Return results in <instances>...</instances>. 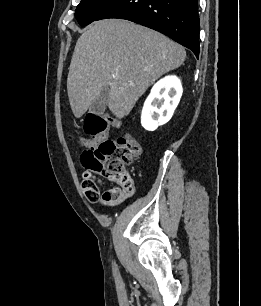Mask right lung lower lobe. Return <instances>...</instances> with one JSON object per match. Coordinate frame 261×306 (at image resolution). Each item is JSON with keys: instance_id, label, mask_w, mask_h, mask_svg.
Masks as SVG:
<instances>
[{"instance_id": "98d812e1", "label": "right lung lower lobe", "mask_w": 261, "mask_h": 306, "mask_svg": "<svg viewBox=\"0 0 261 306\" xmlns=\"http://www.w3.org/2000/svg\"><path fill=\"white\" fill-rule=\"evenodd\" d=\"M126 19L159 31L199 56L198 0H116L95 21Z\"/></svg>"}]
</instances>
